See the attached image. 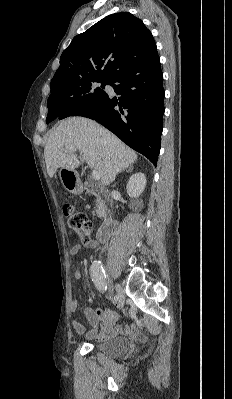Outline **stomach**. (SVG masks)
Returning a JSON list of instances; mask_svg holds the SVG:
<instances>
[{"mask_svg": "<svg viewBox=\"0 0 232 399\" xmlns=\"http://www.w3.org/2000/svg\"><path fill=\"white\" fill-rule=\"evenodd\" d=\"M59 178L61 180V184H63L65 190L68 192H81L82 186L79 180L78 172L75 170H65V168H61L59 170Z\"/></svg>", "mask_w": 232, "mask_h": 399, "instance_id": "0dacf381", "label": "stomach"}]
</instances>
